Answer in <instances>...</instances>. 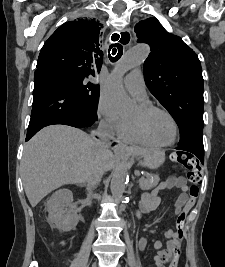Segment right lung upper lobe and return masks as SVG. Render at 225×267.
<instances>
[{
    "label": "right lung upper lobe",
    "mask_w": 225,
    "mask_h": 267,
    "mask_svg": "<svg viewBox=\"0 0 225 267\" xmlns=\"http://www.w3.org/2000/svg\"><path fill=\"white\" fill-rule=\"evenodd\" d=\"M101 24L95 19L68 21L46 41L37 69L76 76H95L102 66Z\"/></svg>",
    "instance_id": "right-lung-upper-lobe-1"
}]
</instances>
